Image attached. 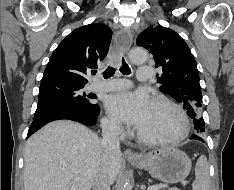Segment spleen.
<instances>
[{"mask_svg":"<svg viewBox=\"0 0 234 190\" xmlns=\"http://www.w3.org/2000/svg\"><path fill=\"white\" fill-rule=\"evenodd\" d=\"M193 190H210L209 166L205 155H201L196 163Z\"/></svg>","mask_w":234,"mask_h":190,"instance_id":"spleen-1","label":"spleen"}]
</instances>
